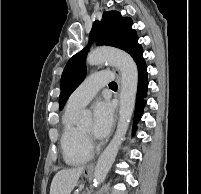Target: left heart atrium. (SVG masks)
I'll return each mask as SVG.
<instances>
[{
    "instance_id": "obj_1",
    "label": "left heart atrium",
    "mask_w": 201,
    "mask_h": 194,
    "mask_svg": "<svg viewBox=\"0 0 201 194\" xmlns=\"http://www.w3.org/2000/svg\"><path fill=\"white\" fill-rule=\"evenodd\" d=\"M94 120L92 134L96 138H104L108 135L113 124V108L107 101H99L94 105Z\"/></svg>"
}]
</instances>
